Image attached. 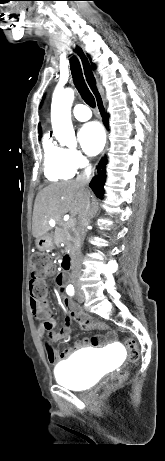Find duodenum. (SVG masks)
<instances>
[{"label":"duodenum","mask_w":165,"mask_h":461,"mask_svg":"<svg viewBox=\"0 0 165 461\" xmlns=\"http://www.w3.org/2000/svg\"><path fill=\"white\" fill-rule=\"evenodd\" d=\"M63 262H64V269L66 271L70 270L73 266V263H74V253H66L64 256H63ZM64 279V277H63Z\"/></svg>","instance_id":"410a0bca"}]
</instances>
